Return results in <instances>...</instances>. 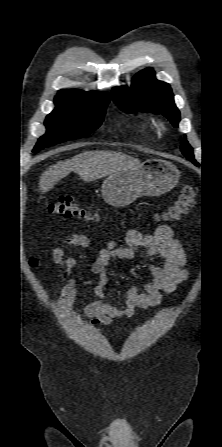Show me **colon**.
<instances>
[{
  "label": "colon",
  "mask_w": 222,
  "mask_h": 447,
  "mask_svg": "<svg viewBox=\"0 0 222 447\" xmlns=\"http://www.w3.org/2000/svg\"><path fill=\"white\" fill-rule=\"evenodd\" d=\"M194 197V188L190 185L184 186L177 200L159 217V220L164 222L180 220L193 204ZM48 211L51 215L61 218L95 219V216L81 208L76 199L71 196H62L52 201L48 206Z\"/></svg>",
  "instance_id": "5ec220e1"
}]
</instances>
